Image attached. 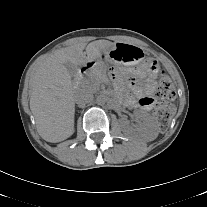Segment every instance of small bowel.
Wrapping results in <instances>:
<instances>
[{"label":"small bowel","mask_w":207,"mask_h":207,"mask_svg":"<svg viewBox=\"0 0 207 207\" xmlns=\"http://www.w3.org/2000/svg\"><path fill=\"white\" fill-rule=\"evenodd\" d=\"M157 70H152L148 66L136 71V73L142 77H148L144 85H140L135 78L130 79V84L133 90V94H127L124 96V102L126 105L135 107L138 106L145 110H150L155 101L153 98L154 83L152 78L155 76ZM117 82L121 84V76H117Z\"/></svg>","instance_id":"small-bowel-1"}]
</instances>
